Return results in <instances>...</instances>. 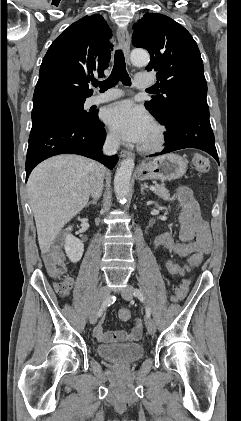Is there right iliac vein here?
<instances>
[{
	"mask_svg": "<svg viewBox=\"0 0 241 421\" xmlns=\"http://www.w3.org/2000/svg\"><path fill=\"white\" fill-rule=\"evenodd\" d=\"M109 293L110 292H109V289L107 287H102L99 290L96 303H95V305H94V307H93V309H92V311L90 313V316H89V320H90V323L91 324H95L97 322V319H98V315L97 314H98V311H99L98 310L99 309V306H100L101 303H103V301L106 298H108Z\"/></svg>",
	"mask_w": 241,
	"mask_h": 421,
	"instance_id": "1",
	"label": "right iliac vein"
}]
</instances>
